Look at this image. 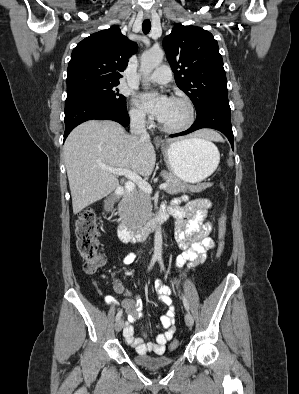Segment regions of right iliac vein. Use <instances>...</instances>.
<instances>
[{
  "label": "right iliac vein",
  "mask_w": 299,
  "mask_h": 394,
  "mask_svg": "<svg viewBox=\"0 0 299 394\" xmlns=\"http://www.w3.org/2000/svg\"><path fill=\"white\" fill-rule=\"evenodd\" d=\"M123 326H124V321H123V319H118L117 322H116V324H115V330H116V332H120V331L122 330Z\"/></svg>",
  "instance_id": "63e3f726"
}]
</instances>
